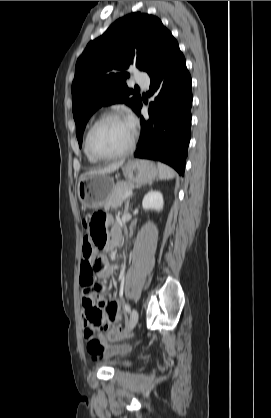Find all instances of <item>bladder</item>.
Instances as JSON below:
<instances>
[{
    "instance_id": "bladder-1",
    "label": "bladder",
    "mask_w": 271,
    "mask_h": 418,
    "mask_svg": "<svg viewBox=\"0 0 271 418\" xmlns=\"http://www.w3.org/2000/svg\"><path fill=\"white\" fill-rule=\"evenodd\" d=\"M127 365L126 360H119L113 363V366L116 368L125 367Z\"/></svg>"
}]
</instances>
